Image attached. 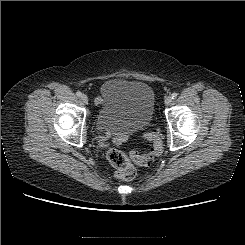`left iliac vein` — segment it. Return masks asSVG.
Wrapping results in <instances>:
<instances>
[{"instance_id":"obj_1","label":"left iliac vein","mask_w":245,"mask_h":245,"mask_svg":"<svg viewBox=\"0 0 245 245\" xmlns=\"http://www.w3.org/2000/svg\"><path fill=\"white\" fill-rule=\"evenodd\" d=\"M171 101H172V98L170 96L165 97V100H164L165 105H169Z\"/></svg>"}]
</instances>
